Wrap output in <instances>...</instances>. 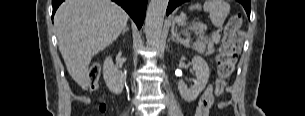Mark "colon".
I'll return each instance as SVG.
<instances>
[{
    "label": "colon",
    "mask_w": 305,
    "mask_h": 116,
    "mask_svg": "<svg viewBox=\"0 0 305 116\" xmlns=\"http://www.w3.org/2000/svg\"><path fill=\"white\" fill-rule=\"evenodd\" d=\"M242 19L240 15H233L228 21L221 43L220 53L217 57V79L215 81V95L223 94L227 85V80L232 75L240 51V43L237 36ZM101 68L98 64H93L88 70V86L91 91H96L99 87ZM100 110L105 109V105L100 104Z\"/></svg>",
    "instance_id": "colon-1"
}]
</instances>
